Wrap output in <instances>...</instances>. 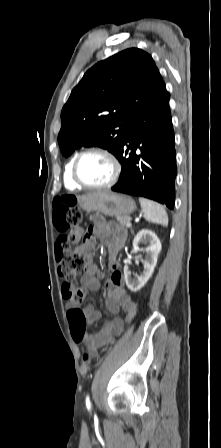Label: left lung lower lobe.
<instances>
[{"instance_id":"obj_1","label":"left lung lower lobe","mask_w":221,"mask_h":448,"mask_svg":"<svg viewBox=\"0 0 221 448\" xmlns=\"http://www.w3.org/2000/svg\"><path fill=\"white\" fill-rule=\"evenodd\" d=\"M169 99L164 89L132 122L117 156L122 171L112 190L147 197L173 209L177 167ZM138 146L141 155L136 154Z\"/></svg>"}]
</instances>
